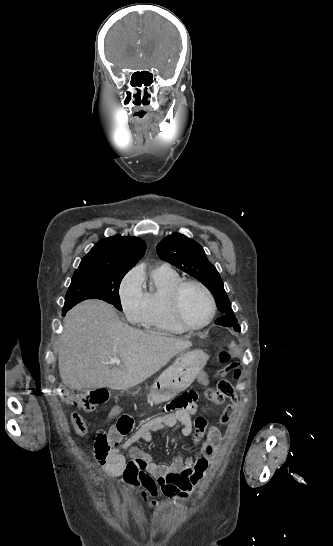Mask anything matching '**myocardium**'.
I'll return each instance as SVG.
<instances>
[{
	"label": "myocardium",
	"mask_w": 333,
	"mask_h": 546,
	"mask_svg": "<svg viewBox=\"0 0 333 546\" xmlns=\"http://www.w3.org/2000/svg\"><path fill=\"white\" fill-rule=\"evenodd\" d=\"M190 285H193V286H196V287L200 288L206 294V296L208 298V301H209V305H210L209 317L207 318V320L205 322H203L200 325H191V324H189L185 320V318L183 316V313H182L181 295H182L183 290L187 286H190ZM169 307H170V311H171V314H172L173 318L178 323V325L181 328H183L185 331H198V330L206 328L208 325H210L212 323V321L215 318L216 312H217L216 301H215L213 293L211 292V290L204 283H202V282H200L198 280H195V279H182L180 282H178L174 286V288L171 291L170 297H169Z\"/></svg>",
	"instance_id": "myocardium-1"
}]
</instances>
